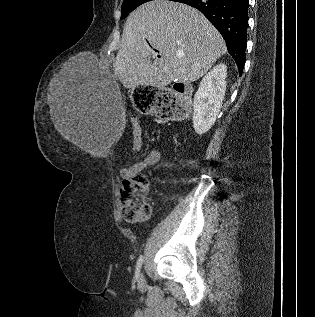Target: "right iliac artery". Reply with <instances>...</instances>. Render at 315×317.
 Segmentation results:
<instances>
[{
	"label": "right iliac artery",
	"mask_w": 315,
	"mask_h": 317,
	"mask_svg": "<svg viewBox=\"0 0 315 317\" xmlns=\"http://www.w3.org/2000/svg\"><path fill=\"white\" fill-rule=\"evenodd\" d=\"M142 263H143V256L141 255L138 260H137V264H136V275L138 276L142 267Z\"/></svg>",
	"instance_id": "right-iliac-artery-1"
}]
</instances>
